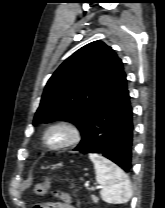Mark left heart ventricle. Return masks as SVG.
I'll return each mask as SVG.
<instances>
[{"label":"left heart ventricle","instance_id":"left-heart-ventricle-1","mask_svg":"<svg viewBox=\"0 0 165 208\" xmlns=\"http://www.w3.org/2000/svg\"><path fill=\"white\" fill-rule=\"evenodd\" d=\"M65 138H66V134L64 133V131L55 130L49 134L48 142L50 144H57L62 142Z\"/></svg>","mask_w":165,"mask_h":208}]
</instances>
